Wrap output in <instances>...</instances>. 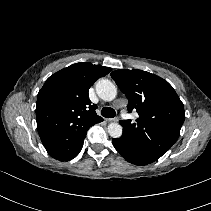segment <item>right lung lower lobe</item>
I'll list each match as a JSON object with an SVG mask.
<instances>
[{
	"label": "right lung lower lobe",
	"mask_w": 211,
	"mask_h": 211,
	"mask_svg": "<svg viewBox=\"0 0 211 211\" xmlns=\"http://www.w3.org/2000/svg\"><path fill=\"white\" fill-rule=\"evenodd\" d=\"M85 136H86V134H84V135L80 138L77 148H76V149L72 152V154H71L68 158H66L64 161H69V160L75 158V157L79 154V152H80L81 149H82L83 141H84Z\"/></svg>",
	"instance_id": "1"
}]
</instances>
